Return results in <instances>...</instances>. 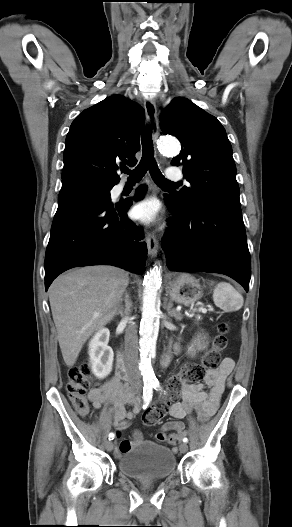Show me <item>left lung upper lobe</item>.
Returning a JSON list of instances; mask_svg holds the SVG:
<instances>
[{
	"label": "left lung upper lobe",
	"mask_w": 292,
	"mask_h": 527,
	"mask_svg": "<svg viewBox=\"0 0 292 527\" xmlns=\"http://www.w3.org/2000/svg\"><path fill=\"white\" fill-rule=\"evenodd\" d=\"M161 120L163 134L174 135L181 142V152L172 163L183 166L191 184L175 196L166 195L175 206L182 211L201 204L240 207L232 147L221 123L182 97L171 101Z\"/></svg>",
	"instance_id": "obj_1"
}]
</instances>
